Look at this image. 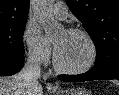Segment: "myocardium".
I'll use <instances>...</instances> for the list:
<instances>
[{
  "mask_svg": "<svg viewBox=\"0 0 119 95\" xmlns=\"http://www.w3.org/2000/svg\"><path fill=\"white\" fill-rule=\"evenodd\" d=\"M66 32H68L70 34H77V35H80L85 38V40L88 42V44L90 46V58H89L88 62L82 67L67 68V67L62 66L58 62L56 54H54V56H53L54 68L58 72L63 73V74H68V75H80V74L87 73L94 67V65L96 64L97 58H98V47H97L96 42L94 41L92 36L83 29L70 28Z\"/></svg>",
  "mask_w": 119,
  "mask_h": 95,
  "instance_id": "myocardium-1",
  "label": "myocardium"
}]
</instances>
